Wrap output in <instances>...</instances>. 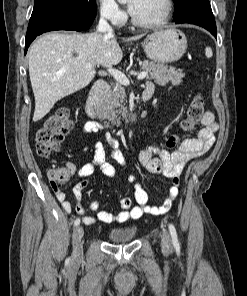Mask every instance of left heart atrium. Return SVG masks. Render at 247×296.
<instances>
[{
	"label": "left heart atrium",
	"instance_id": "39dd6f15",
	"mask_svg": "<svg viewBox=\"0 0 247 296\" xmlns=\"http://www.w3.org/2000/svg\"><path fill=\"white\" fill-rule=\"evenodd\" d=\"M136 8H137V0H131L129 4V11L132 15L135 13Z\"/></svg>",
	"mask_w": 247,
	"mask_h": 296
}]
</instances>
